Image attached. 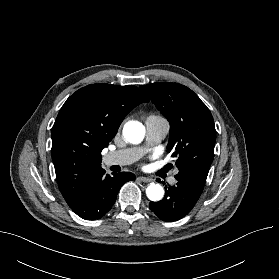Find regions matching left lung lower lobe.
Returning a JSON list of instances; mask_svg holds the SVG:
<instances>
[{
  "mask_svg": "<svg viewBox=\"0 0 279 279\" xmlns=\"http://www.w3.org/2000/svg\"><path fill=\"white\" fill-rule=\"evenodd\" d=\"M165 191V197L159 202H150L149 208L164 221H177L192 210L203 189L178 181Z\"/></svg>",
  "mask_w": 279,
  "mask_h": 279,
  "instance_id": "obj_1",
  "label": "left lung lower lobe"
}]
</instances>
